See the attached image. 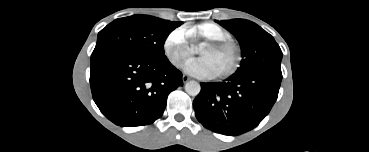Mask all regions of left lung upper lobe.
I'll return each instance as SVG.
<instances>
[{
	"label": "left lung upper lobe",
	"mask_w": 369,
	"mask_h": 152,
	"mask_svg": "<svg viewBox=\"0 0 369 152\" xmlns=\"http://www.w3.org/2000/svg\"><path fill=\"white\" fill-rule=\"evenodd\" d=\"M216 22L231 32L240 43L243 59L236 75L247 76L264 72L282 74V51L269 33L244 19Z\"/></svg>",
	"instance_id": "1"
}]
</instances>
